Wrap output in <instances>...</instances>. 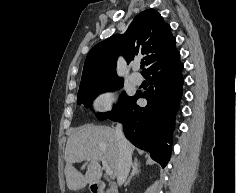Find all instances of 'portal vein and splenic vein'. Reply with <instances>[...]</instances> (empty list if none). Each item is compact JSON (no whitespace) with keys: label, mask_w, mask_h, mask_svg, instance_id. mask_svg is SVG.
<instances>
[{"label":"portal vein and splenic vein","mask_w":237,"mask_h":193,"mask_svg":"<svg viewBox=\"0 0 237 193\" xmlns=\"http://www.w3.org/2000/svg\"><path fill=\"white\" fill-rule=\"evenodd\" d=\"M89 160H90V159L88 158V161H89ZM102 166H103V168L105 169L106 174H107L108 176H112L113 171H112V169L110 168V166L108 165V163H107L106 161H102Z\"/></svg>","instance_id":"obj_1"}]
</instances>
